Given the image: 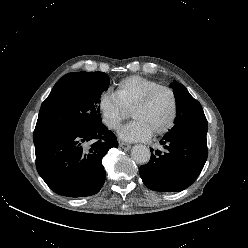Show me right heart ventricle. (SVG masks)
<instances>
[{
	"label": "right heart ventricle",
	"instance_id": "e07e8e85",
	"mask_svg": "<svg viewBox=\"0 0 248 248\" xmlns=\"http://www.w3.org/2000/svg\"><path fill=\"white\" fill-rule=\"evenodd\" d=\"M159 85L160 83L155 80L133 75L118 82L114 94L123 108L130 110L144 94Z\"/></svg>",
	"mask_w": 248,
	"mask_h": 248
}]
</instances>
